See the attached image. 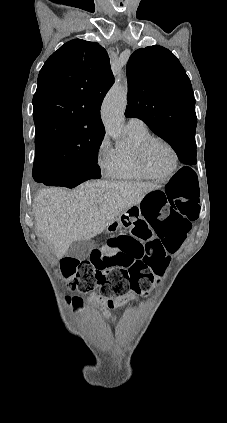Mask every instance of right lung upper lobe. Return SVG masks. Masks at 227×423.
Here are the masks:
<instances>
[{"mask_svg":"<svg viewBox=\"0 0 227 423\" xmlns=\"http://www.w3.org/2000/svg\"><path fill=\"white\" fill-rule=\"evenodd\" d=\"M114 81L96 42L71 40L45 62L33 97L35 147L104 134L100 107Z\"/></svg>","mask_w":227,"mask_h":423,"instance_id":"obj_1","label":"right lung upper lobe"}]
</instances>
